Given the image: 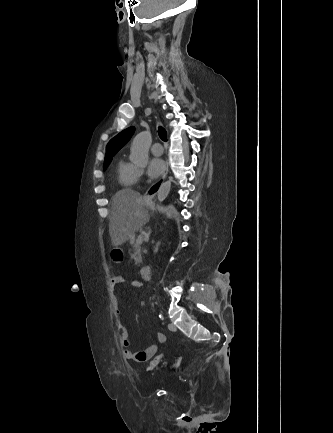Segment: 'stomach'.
<instances>
[{
    "label": "stomach",
    "mask_w": 333,
    "mask_h": 433,
    "mask_svg": "<svg viewBox=\"0 0 333 433\" xmlns=\"http://www.w3.org/2000/svg\"><path fill=\"white\" fill-rule=\"evenodd\" d=\"M151 203H152L151 200L150 201L144 200V205H149ZM168 218L170 220H175L177 218V213L175 211H172V209H169Z\"/></svg>",
    "instance_id": "1"
}]
</instances>
